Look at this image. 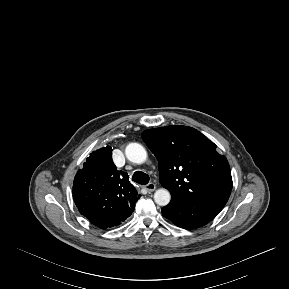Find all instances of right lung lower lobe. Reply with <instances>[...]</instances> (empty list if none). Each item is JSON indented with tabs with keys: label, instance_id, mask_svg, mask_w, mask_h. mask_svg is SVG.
<instances>
[{
	"label": "right lung lower lobe",
	"instance_id": "obj_1",
	"mask_svg": "<svg viewBox=\"0 0 289 289\" xmlns=\"http://www.w3.org/2000/svg\"><path fill=\"white\" fill-rule=\"evenodd\" d=\"M134 207L135 206L122 208L105 218L85 217L90 221L91 224L105 230L109 227L117 226L121 221H124L126 218H128L134 211Z\"/></svg>",
	"mask_w": 289,
	"mask_h": 289
}]
</instances>
